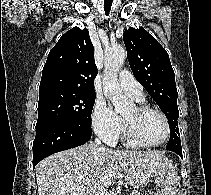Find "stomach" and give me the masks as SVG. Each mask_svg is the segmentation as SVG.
Listing matches in <instances>:
<instances>
[{"mask_svg": "<svg viewBox=\"0 0 211 195\" xmlns=\"http://www.w3.org/2000/svg\"><path fill=\"white\" fill-rule=\"evenodd\" d=\"M151 178H154L157 186L161 188L159 195H172L175 184L178 181L177 172L171 162L161 159L157 162L156 168L152 172V176L149 178L145 172H134L130 174V182L134 184V188L142 187V184Z\"/></svg>", "mask_w": 211, "mask_h": 195, "instance_id": "1", "label": "stomach"}]
</instances>
